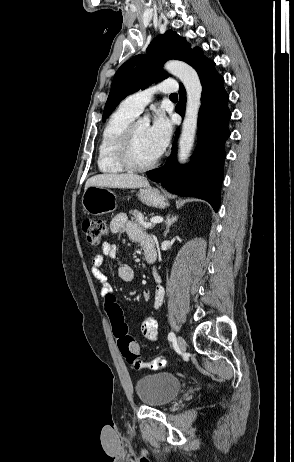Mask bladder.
Returning a JSON list of instances; mask_svg holds the SVG:
<instances>
[{"mask_svg":"<svg viewBox=\"0 0 294 462\" xmlns=\"http://www.w3.org/2000/svg\"><path fill=\"white\" fill-rule=\"evenodd\" d=\"M182 381L170 373H156L141 377L135 382L139 400L150 407L170 404L179 394Z\"/></svg>","mask_w":294,"mask_h":462,"instance_id":"bladder-1","label":"bladder"}]
</instances>
